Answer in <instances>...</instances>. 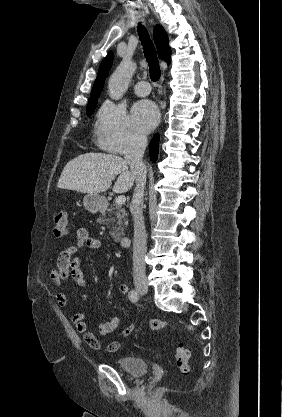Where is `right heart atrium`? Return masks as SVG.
<instances>
[{"instance_id":"obj_1","label":"right heart atrium","mask_w":282,"mask_h":417,"mask_svg":"<svg viewBox=\"0 0 282 417\" xmlns=\"http://www.w3.org/2000/svg\"><path fill=\"white\" fill-rule=\"evenodd\" d=\"M96 135L103 149L121 155L138 150L144 142V135L133 125L125 108L111 102L103 107Z\"/></svg>"}]
</instances>
